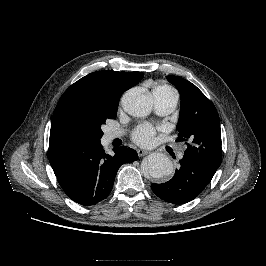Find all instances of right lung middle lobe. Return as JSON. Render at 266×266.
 Listing matches in <instances>:
<instances>
[{"label": "right lung middle lobe", "instance_id": "dd1d6c3e", "mask_svg": "<svg viewBox=\"0 0 266 266\" xmlns=\"http://www.w3.org/2000/svg\"><path fill=\"white\" fill-rule=\"evenodd\" d=\"M117 105H100L68 107L57 123V131L63 139L95 143L103 135L101 126L107 119L117 115Z\"/></svg>", "mask_w": 266, "mask_h": 266}]
</instances>
